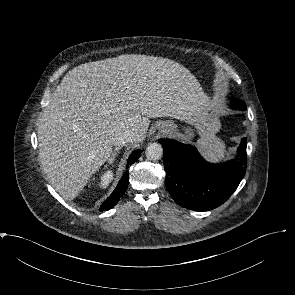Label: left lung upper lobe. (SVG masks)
Segmentation results:
<instances>
[{
    "label": "left lung upper lobe",
    "instance_id": "5c2ea615",
    "mask_svg": "<svg viewBox=\"0 0 295 295\" xmlns=\"http://www.w3.org/2000/svg\"><path fill=\"white\" fill-rule=\"evenodd\" d=\"M236 106H239V110H246V105L245 103L240 100V99H234L231 103V107H236Z\"/></svg>",
    "mask_w": 295,
    "mask_h": 295
}]
</instances>
